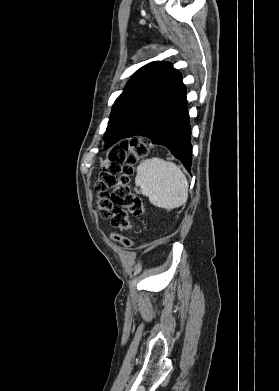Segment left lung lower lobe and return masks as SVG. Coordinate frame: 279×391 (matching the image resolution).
I'll use <instances>...</instances> for the list:
<instances>
[{
  "mask_svg": "<svg viewBox=\"0 0 279 391\" xmlns=\"http://www.w3.org/2000/svg\"><path fill=\"white\" fill-rule=\"evenodd\" d=\"M191 127L186 93L135 135L148 137L153 144L167 147L190 171L192 164Z\"/></svg>",
  "mask_w": 279,
  "mask_h": 391,
  "instance_id": "left-lung-lower-lobe-1",
  "label": "left lung lower lobe"
}]
</instances>
